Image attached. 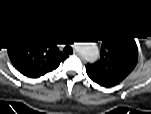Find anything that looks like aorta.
Masks as SVG:
<instances>
[{
  "label": "aorta",
  "mask_w": 151,
  "mask_h": 114,
  "mask_svg": "<svg viewBox=\"0 0 151 114\" xmlns=\"http://www.w3.org/2000/svg\"><path fill=\"white\" fill-rule=\"evenodd\" d=\"M92 45H93V44H92ZM93 48H94V49H93L94 51H93V53H92L91 55H95V46H94V45H93Z\"/></svg>",
  "instance_id": "1"
}]
</instances>
